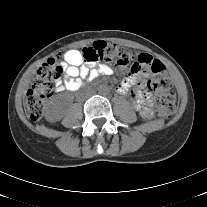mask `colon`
<instances>
[{
  "instance_id": "5ec220e1",
  "label": "colon",
  "mask_w": 207,
  "mask_h": 207,
  "mask_svg": "<svg viewBox=\"0 0 207 207\" xmlns=\"http://www.w3.org/2000/svg\"><path fill=\"white\" fill-rule=\"evenodd\" d=\"M83 57L87 63L111 62L132 72L148 70L152 76L149 79L148 89L155 93V109L159 116L168 118L176 108L175 94L172 82L162 62L143 53L134 55L122 46L97 41L83 49ZM61 54L46 61L38 69L30 89L27 91L25 109L28 117L39 120L44 112L47 100L52 96L62 74Z\"/></svg>"
}]
</instances>
